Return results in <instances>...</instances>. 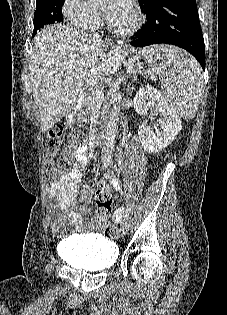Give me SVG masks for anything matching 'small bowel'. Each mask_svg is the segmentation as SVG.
<instances>
[{
	"label": "small bowel",
	"instance_id": "1",
	"mask_svg": "<svg viewBox=\"0 0 227 315\" xmlns=\"http://www.w3.org/2000/svg\"><path fill=\"white\" fill-rule=\"evenodd\" d=\"M74 154L75 161L72 169L47 189L49 197L56 202L50 210V224L55 232L62 231L66 221H70L76 228H82L81 211L78 206L86 201L88 196L77 191V184L88 161V147L80 145L75 149ZM109 185H112L116 191L120 190V185L115 178L110 177L108 182L100 184L103 187ZM123 213L124 206H119L114 211L112 220L119 222ZM98 226L101 229L105 227L99 222Z\"/></svg>",
	"mask_w": 227,
	"mask_h": 315
}]
</instances>
